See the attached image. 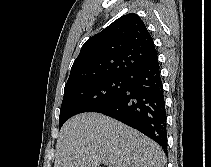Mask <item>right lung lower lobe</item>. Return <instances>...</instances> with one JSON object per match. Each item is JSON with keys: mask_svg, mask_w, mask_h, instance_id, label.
<instances>
[{"mask_svg": "<svg viewBox=\"0 0 211 167\" xmlns=\"http://www.w3.org/2000/svg\"><path fill=\"white\" fill-rule=\"evenodd\" d=\"M125 78L124 91L95 112L137 129L166 152V110L158 58L131 70Z\"/></svg>", "mask_w": 211, "mask_h": 167, "instance_id": "right-lung-lower-lobe-1", "label": "right lung lower lobe"}]
</instances>
